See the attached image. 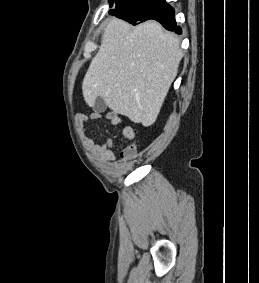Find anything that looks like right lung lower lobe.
I'll use <instances>...</instances> for the list:
<instances>
[{"label": "right lung lower lobe", "instance_id": "right-lung-lower-lobe-1", "mask_svg": "<svg viewBox=\"0 0 259 283\" xmlns=\"http://www.w3.org/2000/svg\"><path fill=\"white\" fill-rule=\"evenodd\" d=\"M110 14L123 19L133 25L154 19L167 30L181 34V28L176 26L174 9L165 0H109Z\"/></svg>", "mask_w": 259, "mask_h": 283}]
</instances>
